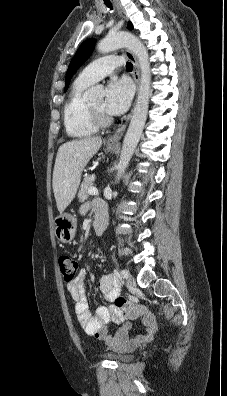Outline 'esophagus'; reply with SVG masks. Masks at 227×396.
I'll return each instance as SVG.
<instances>
[{
	"label": "esophagus",
	"mask_w": 227,
	"mask_h": 396,
	"mask_svg": "<svg viewBox=\"0 0 227 396\" xmlns=\"http://www.w3.org/2000/svg\"><path fill=\"white\" fill-rule=\"evenodd\" d=\"M115 4L117 7V10L119 12L120 15H122V9L121 6L119 5V3L117 2V0H115ZM125 55L126 57L132 62L133 64V79L136 85V91L138 93L139 91V84H140V70H139V64L137 61L136 56L128 49L125 50ZM133 109L131 110L130 114L127 116L126 121L123 125H121L115 132L113 135H111L108 139H107V144L108 145H117L121 139V137L123 136V133L127 127V124L131 118Z\"/></svg>",
	"instance_id": "obj_1"
}]
</instances>
